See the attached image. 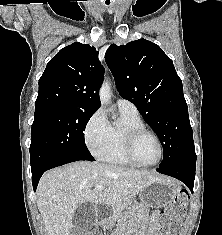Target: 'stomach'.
<instances>
[{
  "mask_svg": "<svg viewBox=\"0 0 222 235\" xmlns=\"http://www.w3.org/2000/svg\"><path fill=\"white\" fill-rule=\"evenodd\" d=\"M180 192V184L172 179L159 178L151 182L144 190L139 194L140 203L126 202L124 209L126 214H129L140 220L141 208H159L169 204ZM114 217L102 218L99 224L104 228H112L114 226ZM135 235H148L147 232L138 229V224L130 231Z\"/></svg>",
  "mask_w": 222,
  "mask_h": 235,
  "instance_id": "obj_1",
  "label": "stomach"
}]
</instances>
